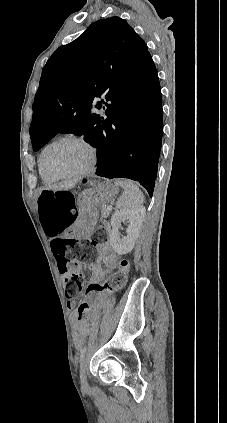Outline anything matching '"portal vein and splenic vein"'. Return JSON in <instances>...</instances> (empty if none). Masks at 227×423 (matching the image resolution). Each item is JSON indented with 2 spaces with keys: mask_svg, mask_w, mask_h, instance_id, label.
<instances>
[{
  "mask_svg": "<svg viewBox=\"0 0 227 423\" xmlns=\"http://www.w3.org/2000/svg\"><path fill=\"white\" fill-rule=\"evenodd\" d=\"M107 210L111 211L112 210V206H108Z\"/></svg>",
  "mask_w": 227,
  "mask_h": 423,
  "instance_id": "obj_1",
  "label": "portal vein and splenic vein"
}]
</instances>
